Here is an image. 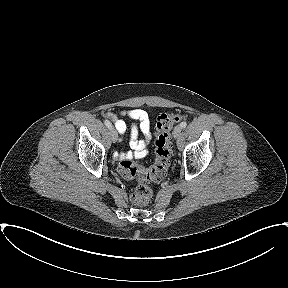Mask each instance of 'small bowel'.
Instances as JSON below:
<instances>
[{"instance_id":"obj_1","label":"small bowel","mask_w":288,"mask_h":288,"mask_svg":"<svg viewBox=\"0 0 288 288\" xmlns=\"http://www.w3.org/2000/svg\"><path fill=\"white\" fill-rule=\"evenodd\" d=\"M121 114L132 120L138 121L139 124H133L131 126L129 145L132 151L117 154V159L144 158L148 153L147 144L151 138V122L147 112L138 108H130L122 111ZM107 117L113 121L116 130L121 136H123L127 131L125 121L113 113H107ZM139 132L144 135V139H139Z\"/></svg>"}]
</instances>
